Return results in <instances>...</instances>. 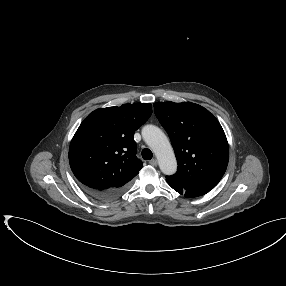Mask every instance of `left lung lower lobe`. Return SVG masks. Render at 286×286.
I'll return each instance as SVG.
<instances>
[{
  "label": "left lung lower lobe",
  "instance_id": "0a47b994",
  "mask_svg": "<svg viewBox=\"0 0 286 286\" xmlns=\"http://www.w3.org/2000/svg\"><path fill=\"white\" fill-rule=\"evenodd\" d=\"M166 181L175 191L184 194L185 197H198L209 192V190L203 188L187 186L181 182L172 180L168 176L166 177Z\"/></svg>",
  "mask_w": 286,
  "mask_h": 286
}]
</instances>
